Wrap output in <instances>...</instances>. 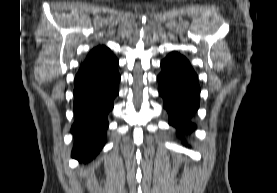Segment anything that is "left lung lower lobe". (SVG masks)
<instances>
[{"label": "left lung lower lobe", "mask_w": 277, "mask_h": 193, "mask_svg": "<svg viewBox=\"0 0 277 193\" xmlns=\"http://www.w3.org/2000/svg\"><path fill=\"white\" fill-rule=\"evenodd\" d=\"M161 66L157 80L163 106L169 114V124L176 127L180 135L191 133L196 126L190 118L199 108L198 77L189 61L176 52L170 53Z\"/></svg>", "instance_id": "obj_1"}]
</instances>
